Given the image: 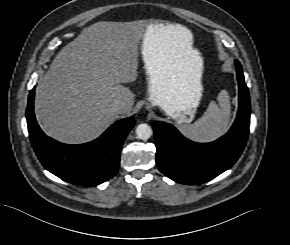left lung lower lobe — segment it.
Here are the masks:
<instances>
[{
	"label": "left lung lower lobe",
	"mask_w": 290,
	"mask_h": 245,
	"mask_svg": "<svg viewBox=\"0 0 290 245\" xmlns=\"http://www.w3.org/2000/svg\"><path fill=\"white\" fill-rule=\"evenodd\" d=\"M239 86V108L228 133L211 143H195L184 138L171 124L154 122L159 170L182 184L207 182L228 168L240 157L249 134L250 100L242 67L236 61Z\"/></svg>",
	"instance_id": "obj_1"
}]
</instances>
